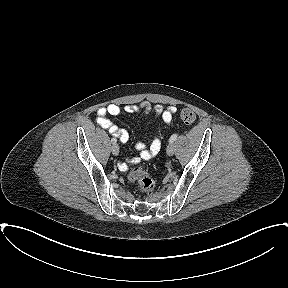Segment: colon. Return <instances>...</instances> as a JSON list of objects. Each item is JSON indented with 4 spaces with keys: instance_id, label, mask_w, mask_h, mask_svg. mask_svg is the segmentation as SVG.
Returning a JSON list of instances; mask_svg holds the SVG:
<instances>
[{
    "instance_id": "obj_1",
    "label": "colon",
    "mask_w": 288,
    "mask_h": 288,
    "mask_svg": "<svg viewBox=\"0 0 288 288\" xmlns=\"http://www.w3.org/2000/svg\"><path fill=\"white\" fill-rule=\"evenodd\" d=\"M178 116L180 120L185 124H192L196 120L195 113L188 108L180 110ZM128 179L130 181L136 182L140 190L144 193L151 192L155 185L153 179L140 166H136L129 171Z\"/></svg>"
}]
</instances>
